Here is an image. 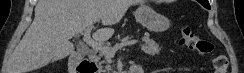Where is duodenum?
<instances>
[{
    "label": "duodenum",
    "mask_w": 244,
    "mask_h": 73,
    "mask_svg": "<svg viewBox=\"0 0 244 73\" xmlns=\"http://www.w3.org/2000/svg\"><path fill=\"white\" fill-rule=\"evenodd\" d=\"M69 72L70 73H94V64L85 59L83 54L79 51H75L69 58ZM134 72V69H130V73Z\"/></svg>",
    "instance_id": "1"
}]
</instances>
